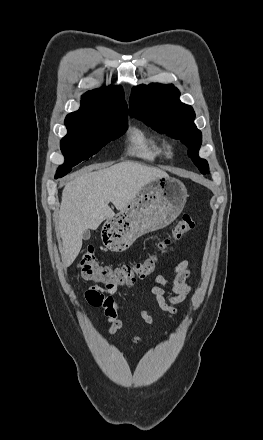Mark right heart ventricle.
I'll return each instance as SVG.
<instances>
[{"mask_svg":"<svg viewBox=\"0 0 263 440\" xmlns=\"http://www.w3.org/2000/svg\"><path fill=\"white\" fill-rule=\"evenodd\" d=\"M128 153L147 161L164 155V143L141 127H133L128 136Z\"/></svg>","mask_w":263,"mask_h":440,"instance_id":"right-heart-ventricle-1","label":"right heart ventricle"}]
</instances>
